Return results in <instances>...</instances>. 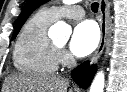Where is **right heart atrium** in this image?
Here are the masks:
<instances>
[{
	"instance_id": "right-heart-atrium-1",
	"label": "right heart atrium",
	"mask_w": 127,
	"mask_h": 92,
	"mask_svg": "<svg viewBox=\"0 0 127 92\" xmlns=\"http://www.w3.org/2000/svg\"><path fill=\"white\" fill-rule=\"evenodd\" d=\"M58 56H59V61L62 63V64H66L68 63L69 61V56L68 54L64 51V50H59L58 51Z\"/></svg>"
}]
</instances>
